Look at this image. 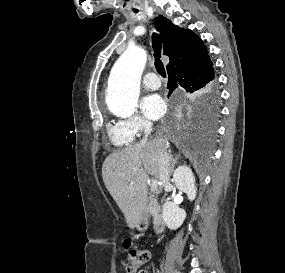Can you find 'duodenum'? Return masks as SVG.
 <instances>
[{"label":"duodenum","instance_id":"1","mask_svg":"<svg viewBox=\"0 0 285 273\" xmlns=\"http://www.w3.org/2000/svg\"><path fill=\"white\" fill-rule=\"evenodd\" d=\"M144 215L153 217V230L156 234H161L165 228V222L160 211V206L157 199L153 196L147 197L144 204ZM146 219L143 217L139 224L143 226Z\"/></svg>","mask_w":285,"mask_h":273}]
</instances>
